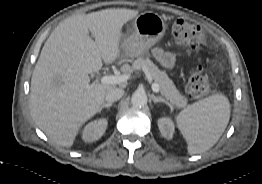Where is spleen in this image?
I'll list each match as a JSON object with an SVG mask.
<instances>
[{"mask_svg": "<svg viewBox=\"0 0 262 184\" xmlns=\"http://www.w3.org/2000/svg\"><path fill=\"white\" fill-rule=\"evenodd\" d=\"M230 112L228 98L214 94L176 115L177 126L187 142L190 155L209 150L217 143L228 125Z\"/></svg>", "mask_w": 262, "mask_h": 184, "instance_id": "spleen-1", "label": "spleen"}]
</instances>
